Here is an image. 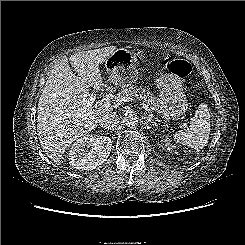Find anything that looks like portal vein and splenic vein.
Returning a JSON list of instances; mask_svg holds the SVG:
<instances>
[{"label": "portal vein and splenic vein", "mask_w": 245, "mask_h": 245, "mask_svg": "<svg viewBox=\"0 0 245 245\" xmlns=\"http://www.w3.org/2000/svg\"><path fill=\"white\" fill-rule=\"evenodd\" d=\"M94 101H95V96L92 94L88 98L87 102L85 103V107L80 112H78L76 114V116L77 117H80V118H85V117L89 116L90 114H92L93 111H94V109H93V103H94ZM127 101L128 102L129 101H131V102L132 101L139 102L136 99L131 98V97H123V98L120 99V102H127ZM139 103L142 106V108H144L145 110H150L149 106L146 105L145 103H143V102H139ZM182 127L187 128V125L184 123L182 125Z\"/></svg>", "instance_id": "obj_1"}]
</instances>
